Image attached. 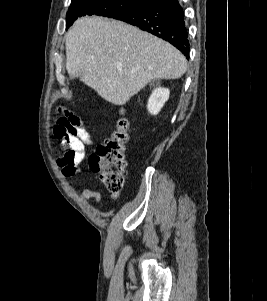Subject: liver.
Wrapping results in <instances>:
<instances>
[{"label": "liver", "mask_w": 267, "mask_h": 301, "mask_svg": "<svg viewBox=\"0 0 267 301\" xmlns=\"http://www.w3.org/2000/svg\"><path fill=\"white\" fill-rule=\"evenodd\" d=\"M66 69L106 101L124 105L155 79H178L184 55L168 42L121 21L77 19L66 34Z\"/></svg>", "instance_id": "obj_1"}]
</instances>
